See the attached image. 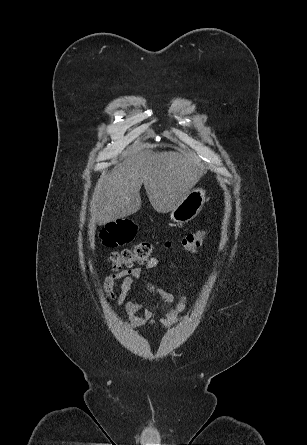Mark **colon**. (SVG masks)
Wrapping results in <instances>:
<instances>
[{
  "label": "colon",
  "instance_id": "obj_1",
  "mask_svg": "<svg viewBox=\"0 0 307 445\" xmlns=\"http://www.w3.org/2000/svg\"><path fill=\"white\" fill-rule=\"evenodd\" d=\"M137 233L136 224L130 219H119L108 223L100 232V238L107 247H119L131 242ZM207 230H199L186 234L181 245L185 251H196L205 241ZM166 247L170 242L165 243ZM153 246L150 243H139L133 248L114 251L110 254L109 260L115 269L122 267H132L135 264H147L151 258Z\"/></svg>",
  "mask_w": 307,
  "mask_h": 445
}]
</instances>
